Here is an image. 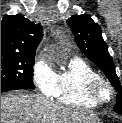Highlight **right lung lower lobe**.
Returning a JSON list of instances; mask_svg holds the SVG:
<instances>
[{
  "label": "right lung lower lobe",
  "mask_w": 122,
  "mask_h": 123,
  "mask_svg": "<svg viewBox=\"0 0 122 123\" xmlns=\"http://www.w3.org/2000/svg\"><path fill=\"white\" fill-rule=\"evenodd\" d=\"M17 89H26L22 86L12 83H1V93L10 91V90H17Z\"/></svg>",
  "instance_id": "98d812e1"
}]
</instances>
